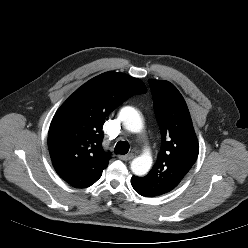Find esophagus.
I'll return each instance as SVG.
<instances>
[{"mask_svg":"<svg viewBox=\"0 0 248 248\" xmlns=\"http://www.w3.org/2000/svg\"><path fill=\"white\" fill-rule=\"evenodd\" d=\"M133 158H134V154H132V153L119 156V159H121L123 161H129V160H132Z\"/></svg>","mask_w":248,"mask_h":248,"instance_id":"34e87169","label":"esophagus"}]
</instances>
